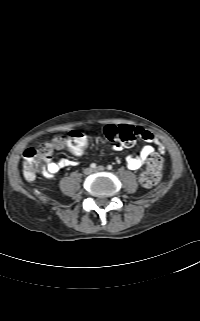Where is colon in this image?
<instances>
[{
  "mask_svg": "<svg viewBox=\"0 0 200 321\" xmlns=\"http://www.w3.org/2000/svg\"><path fill=\"white\" fill-rule=\"evenodd\" d=\"M104 136L112 142L120 143L125 147L135 144L140 135L138 128L126 125H107L103 128ZM67 145L74 156L83 157L86 154L85 134L80 131H72L67 136ZM54 150L52 143H45L38 148H28L23 154V171L27 179L35 177L36 171L41 164L47 161ZM162 158L158 154H152L148 159V164L140 176V182L145 187L155 186L161 178Z\"/></svg>",
  "mask_w": 200,
  "mask_h": 321,
  "instance_id": "5ec220e1",
  "label": "colon"
}]
</instances>
